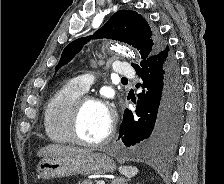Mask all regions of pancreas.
Wrapping results in <instances>:
<instances>
[{
  "instance_id": "1",
  "label": "pancreas",
  "mask_w": 224,
  "mask_h": 184,
  "mask_svg": "<svg viewBox=\"0 0 224 184\" xmlns=\"http://www.w3.org/2000/svg\"><path fill=\"white\" fill-rule=\"evenodd\" d=\"M77 184H92L91 180H83V181H79Z\"/></svg>"
}]
</instances>
